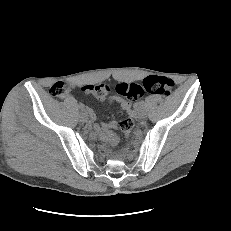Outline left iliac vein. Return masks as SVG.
Listing matches in <instances>:
<instances>
[{
    "label": "left iliac vein",
    "mask_w": 231,
    "mask_h": 231,
    "mask_svg": "<svg viewBox=\"0 0 231 231\" xmlns=\"http://www.w3.org/2000/svg\"><path fill=\"white\" fill-rule=\"evenodd\" d=\"M138 115H139V117L140 118H145L146 117V111L143 109V108H141L140 110H139V112H138Z\"/></svg>",
    "instance_id": "obj_1"
}]
</instances>
